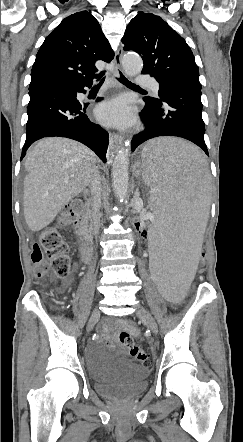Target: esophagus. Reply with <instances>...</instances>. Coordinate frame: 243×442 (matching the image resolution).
Returning <instances> with one entry per match:
<instances>
[{
  "label": "esophagus",
  "instance_id": "1",
  "mask_svg": "<svg viewBox=\"0 0 243 442\" xmlns=\"http://www.w3.org/2000/svg\"><path fill=\"white\" fill-rule=\"evenodd\" d=\"M121 58H122V47H120L114 57V74L116 76H119V71L121 70ZM123 142V138L121 135L118 134H111L109 138V151L113 155L115 154L120 145Z\"/></svg>",
  "mask_w": 243,
  "mask_h": 442
}]
</instances>
